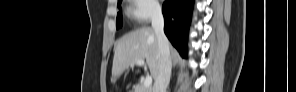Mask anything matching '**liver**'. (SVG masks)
I'll return each instance as SVG.
<instances>
[{
    "mask_svg": "<svg viewBox=\"0 0 296 92\" xmlns=\"http://www.w3.org/2000/svg\"><path fill=\"white\" fill-rule=\"evenodd\" d=\"M139 59L146 60L151 76L155 79L159 73V48L153 28L137 29L124 35L118 41L114 50L113 81L129 66L137 65L136 61Z\"/></svg>",
    "mask_w": 296,
    "mask_h": 92,
    "instance_id": "1",
    "label": "liver"
}]
</instances>
